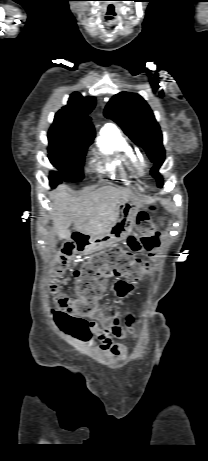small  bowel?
<instances>
[{
  "mask_svg": "<svg viewBox=\"0 0 208 461\" xmlns=\"http://www.w3.org/2000/svg\"><path fill=\"white\" fill-rule=\"evenodd\" d=\"M112 292L119 298L131 296L136 286L133 282L117 280L111 286ZM92 320L88 322V338L85 342L95 336L99 341V350L106 356H117L125 352V349L116 344L113 338H125L134 335V318L127 316L124 321L116 311L110 312L106 307H96L90 315ZM125 326H124V325Z\"/></svg>",
  "mask_w": 208,
  "mask_h": 461,
  "instance_id": "c3829d8e",
  "label": "small bowel"
}]
</instances>
